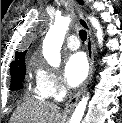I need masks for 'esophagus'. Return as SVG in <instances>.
<instances>
[{"instance_id":"1","label":"esophagus","mask_w":122,"mask_h":123,"mask_svg":"<svg viewBox=\"0 0 122 123\" xmlns=\"http://www.w3.org/2000/svg\"><path fill=\"white\" fill-rule=\"evenodd\" d=\"M71 5L75 8L77 13L79 14V23L87 32L86 49H87V55H88V59H89V74H88L86 81L82 85L81 89L74 95V97L66 105V107H65L66 113H70L73 110L75 104L77 103L78 99L80 98V95L86 89V87L92 77L93 64H94V49H95L92 31H91V28H90L87 20L84 18L83 14L81 12V9L79 8V6L77 5V3L75 1H71Z\"/></svg>"}]
</instances>
